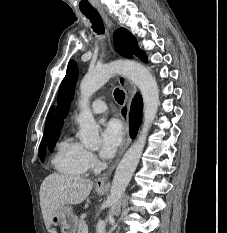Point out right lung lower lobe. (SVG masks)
<instances>
[{"label":"right lung lower lobe","instance_id":"98d812e1","mask_svg":"<svg viewBox=\"0 0 227 233\" xmlns=\"http://www.w3.org/2000/svg\"><path fill=\"white\" fill-rule=\"evenodd\" d=\"M139 125L140 124L137 120V107H136L135 98H134L132 102L131 110H130V134L132 138L135 137Z\"/></svg>","mask_w":227,"mask_h":233}]
</instances>
